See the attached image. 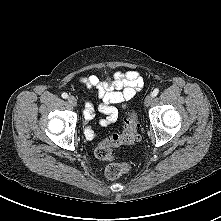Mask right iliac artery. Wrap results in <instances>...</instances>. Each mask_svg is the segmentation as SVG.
<instances>
[{"label": "right iliac artery", "mask_w": 221, "mask_h": 221, "mask_svg": "<svg viewBox=\"0 0 221 221\" xmlns=\"http://www.w3.org/2000/svg\"><path fill=\"white\" fill-rule=\"evenodd\" d=\"M62 98H64V99L68 98V94L67 93H63L62 94Z\"/></svg>", "instance_id": "right-iliac-artery-1"}]
</instances>
